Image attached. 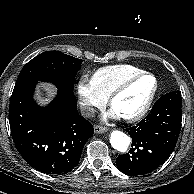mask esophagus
Wrapping results in <instances>:
<instances>
[{"mask_svg":"<svg viewBox=\"0 0 194 194\" xmlns=\"http://www.w3.org/2000/svg\"><path fill=\"white\" fill-rule=\"evenodd\" d=\"M94 131H95V133H104V132H107L108 131V128L105 127V126L96 125L94 127Z\"/></svg>","mask_w":194,"mask_h":194,"instance_id":"34e87169","label":"esophagus"}]
</instances>
